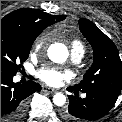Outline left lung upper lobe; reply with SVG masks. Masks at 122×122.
<instances>
[{
  "label": "left lung upper lobe",
  "mask_w": 122,
  "mask_h": 122,
  "mask_svg": "<svg viewBox=\"0 0 122 122\" xmlns=\"http://www.w3.org/2000/svg\"><path fill=\"white\" fill-rule=\"evenodd\" d=\"M79 26L93 48L94 61L83 80L71 87L82 92L102 90L119 95L122 89V62L115 44L92 22L80 19Z\"/></svg>",
  "instance_id": "obj_1"
}]
</instances>
